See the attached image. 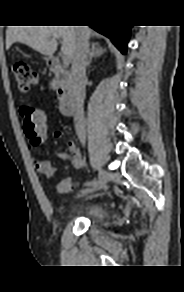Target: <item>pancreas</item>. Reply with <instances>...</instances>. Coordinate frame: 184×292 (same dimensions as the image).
<instances>
[{
    "label": "pancreas",
    "mask_w": 184,
    "mask_h": 292,
    "mask_svg": "<svg viewBox=\"0 0 184 292\" xmlns=\"http://www.w3.org/2000/svg\"><path fill=\"white\" fill-rule=\"evenodd\" d=\"M58 80L56 79V78H54L53 80H52V82H51V87L52 88H55L56 87V85L58 84Z\"/></svg>",
    "instance_id": "pancreas-1"
}]
</instances>
